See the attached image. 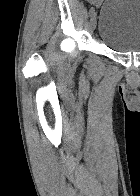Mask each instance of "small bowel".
<instances>
[{
	"mask_svg": "<svg viewBox=\"0 0 140 196\" xmlns=\"http://www.w3.org/2000/svg\"><path fill=\"white\" fill-rule=\"evenodd\" d=\"M94 2H96V3H99L101 0H93Z\"/></svg>",
	"mask_w": 140,
	"mask_h": 196,
	"instance_id": "obj_1",
	"label": "small bowel"
}]
</instances>
